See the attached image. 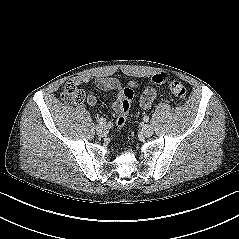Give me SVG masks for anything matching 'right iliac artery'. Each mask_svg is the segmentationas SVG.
Masks as SVG:
<instances>
[{"label": "right iliac artery", "mask_w": 239, "mask_h": 239, "mask_svg": "<svg viewBox=\"0 0 239 239\" xmlns=\"http://www.w3.org/2000/svg\"><path fill=\"white\" fill-rule=\"evenodd\" d=\"M97 122H98L100 125H102V124H105V123H106V120L103 119V118H99V119H97Z\"/></svg>", "instance_id": "82829eb1"}]
</instances>
